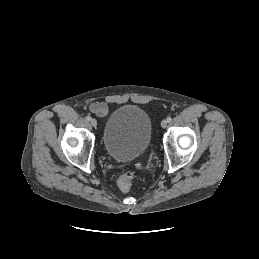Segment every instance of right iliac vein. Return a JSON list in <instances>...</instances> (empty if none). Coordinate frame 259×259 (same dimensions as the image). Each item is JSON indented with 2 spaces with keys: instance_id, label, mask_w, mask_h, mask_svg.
Listing matches in <instances>:
<instances>
[{
  "instance_id": "1",
  "label": "right iliac vein",
  "mask_w": 259,
  "mask_h": 259,
  "mask_svg": "<svg viewBox=\"0 0 259 259\" xmlns=\"http://www.w3.org/2000/svg\"><path fill=\"white\" fill-rule=\"evenodd\" d=\"M91 125H92L93 127H96V126H97V121H96V119H91Z\"/></svg>"
}]
</instances>
